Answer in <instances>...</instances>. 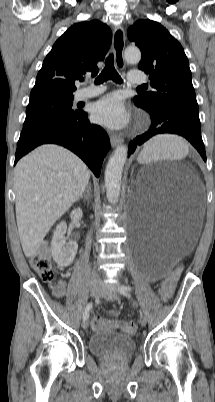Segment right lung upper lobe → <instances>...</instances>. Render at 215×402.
Masks as SVG:
<instances>
[{
    "instance_id": "right-lung-upper-lobe-1",
    "label": "right lung upper lobe",
    "mask_w": 215,
    "mask_h": 402,
    "mask_svg": "<svg viewBox=\"0 0 215 402\" xmlns=\"http://www.w3.org/2000/svg\"><path fill=\"white\" fill-rule=\"evenodd\" d=\"M112 41L110 28L98 20L72 25L53 45L44 59L30 99L64 95L73 96L75 81L86 72L98 73Z\"/></svg>"
}]
</instances>
